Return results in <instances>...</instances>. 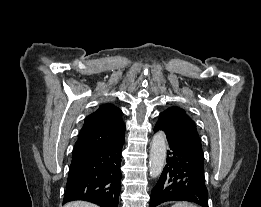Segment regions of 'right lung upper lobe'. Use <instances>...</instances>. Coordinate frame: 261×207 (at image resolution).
I'll list each match as a JSON object with an SVG mask.
<instances>
[{"label": "right lung upper lobe", "instance_id": "1", "mask_svg": "<svg viewBox=\"0 0 261 207\" xmlns=\"http://www.w3.org/2000/svg\"><path fill=\"white\" fill-rule=\"evenodd\" d=\"M121 115V110L113 104H103L88 115L72 155L107 147L124 139L126 126Z\"/></svg>", "mask_w": 261, "mask_h": 207}]
</instances>
